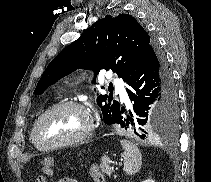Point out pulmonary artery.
Returning <instances> with one entry per match:
<instances>
[{"mask_svg": "<svg viewBox=\"0 0 211 182\" xmlns=\"http://www.w3.org/2000/svg\"><path fill=\"white\" fill-rule=\"evenodd\" d=\"M114 80V83L116 84V89H117V92L119 93L121 99L125 102H129V98H128V95H127V92L124 88V86L120 83H118L117 81V78H113Z\"/></svg>", "mask_w": 211, "mask_h": 182, "instance_id": "e3ab8cb5", "label": "pulmonary artery"}]
</instances>
